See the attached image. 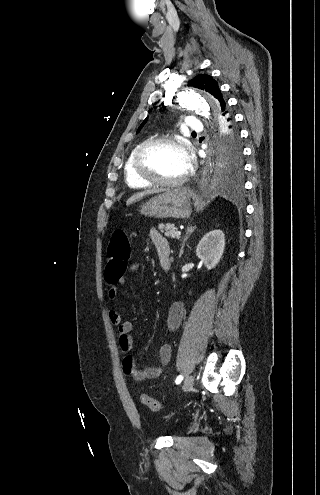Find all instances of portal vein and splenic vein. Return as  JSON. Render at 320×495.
Listing matches in <instances>:
<instances>
[{
	"mask_svg": "<svg viewBox=\"0 0 320 495\" xmlns=\"http://www.w3.org/2000/svg\"><path fill=\"white\" fill-rule=\"evenodd\" d=\"M175 234H176L177 237H179L181 235V232L180 231H176Z\"/></svg>",
	"mask_w": 320,
	"mask_h": 495,
	"instance_id": "portal-vein-and-splenic-vein-1",
	"label": "portal vein and splenic vein"
}]
</instances>
